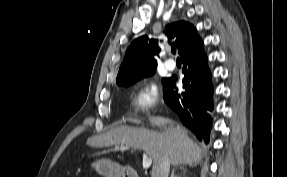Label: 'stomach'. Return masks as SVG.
Wrapping results in <instances>:
<instances>
[{"label": "stomach", "mask_w": 287, "mask_h": 177, "mask_svg": "<svg viewBox=\"0 0 287 177\" xmlns=\"http://www.w3.org/2000/svg\"><path fill=\"white\" fill-rule=\"evenodd\" d=\"M92 166L97 173L104 177H125L128 174L125 167L108 159H99Z\"/></svg>", "instance_id": "stomach-1"}]
</instances>
